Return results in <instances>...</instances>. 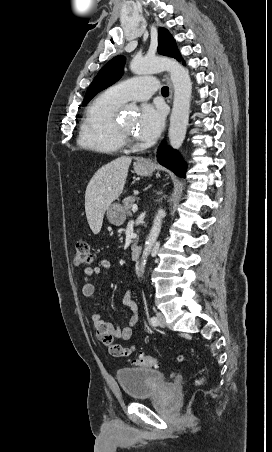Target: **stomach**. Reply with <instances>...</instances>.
I'll return each instance as SVG.
<instances>
[{
    "instance_id": "0dacf381",
    "label": "stomach",
    "mask_w": 272,
    "mask_h": 452,
    "mask_svg": "<svg viewBox=\"0 0 272 452\" xmlns=\"http://www.w3.org/2000/svg\"><path fill=\"white\" fill-rule=\"evenodd\" d=\"M134 171L138 175L149 176L152 173V168L145 162L137 161L134 163ZM107 219L116 226L122 225L126 219L123 206L119 203L110 205L107 209Z\"/></svg>"
}]
</instances>
